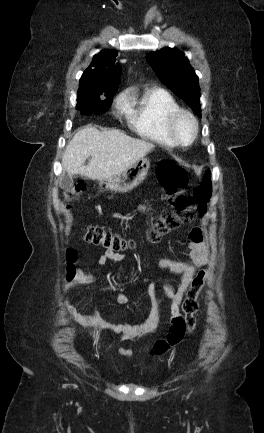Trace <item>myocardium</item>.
Wrapping results in <instances>:
<instances>
[{"label":"myocardium","mask_w":264,"mask_h":433,"mask_svg":"<svg viewBox=\"0 0 264 433\" xmlns=\"http://www.w3.org/2000/svg\"><path fill=\"white\" fill-rule=\"evenodd\" d=\"M182 117L188 118L191 121V123L193 124V135H192V138L190 139V141H188V142L181 141L180 138L177 136L176 131H175L176 123ZM165 130L175 145L182 146V147L189 146V145L193 144L194 141L198 137L199 123H198V120L194 116L193 113H191L190 111H188L186 109L178 108L176 110H173L172 112H170L166 116V118H165Z\"/></svg>","instance_id":"1"}]
</instances>
